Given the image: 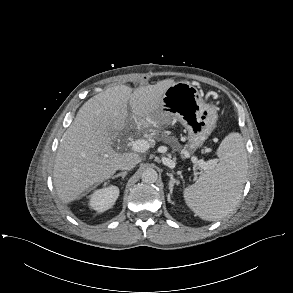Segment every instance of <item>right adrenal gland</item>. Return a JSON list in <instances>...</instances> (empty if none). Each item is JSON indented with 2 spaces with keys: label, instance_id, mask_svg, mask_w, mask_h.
I'll use <instances>...</instances> for the list:
<instances>
[{
  "label": "right adrenal gland",
  "instance_id": "obj_1",
  "mask_svg": "<svg viewBox=\"0 0 293 293\" xmlns=\"http://www.w3.org/2000/svg\"><path fill=\"white\" fill-rule=\"evenodd\" d=\"M127 175V172L125 171V172H122V173H119V174H117V175H115V176H113L112 178L114 179V178H117V177H122V179H124V177Z\"/></svg>",
  "mask_w": 293,
  "mask_h": 293
}]
</instances>
